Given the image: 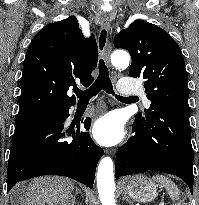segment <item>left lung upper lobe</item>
Returning a JSON list of instances; mask_svg holds the SVG:
<instances>
[{
	"mask_svg": "<svg viewBox=\"0 0 199 205\" xmlns=\"http://www.w3.org/2000/svg\"><path fill=\"white\" fill-rule=\"evenodd\" d=\"M116 48L129 51L132 64L128 74L142 77L150 107L166 108L190 115L188 76L178 44L162 28L144 20L134 21L114 38ZM149 110L135 121H149Z\"/></svg>",
	"mask_w": 199,
	"mask_h": 205,
	"instance_id": "obj_1",
	"label": "left lung upper lobe"
}]
</instances>
